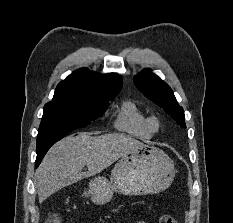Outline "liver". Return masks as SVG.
<instances>
[{
    "mask_svg": "<svg viewBox=\"0 0 233 223\" xmlns=\"http://www.w3.org/2000/svg\"><path fill=\"white\" fill-rule=\"evenodd\" d=\"M141 141L125 133L68 135L43 157L35 175L39 203L60 187L100 173ZM87 165V171H82Z\"/></svg>",
    "mask_w": 233,
    "mask_h": 223,
    "instance_id": "obj_1",
    "label": "liver"
}]
</instances>
